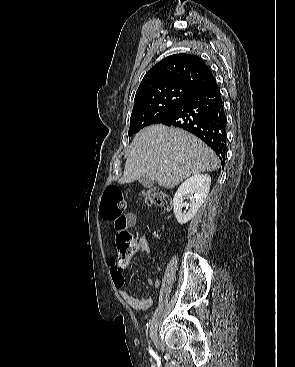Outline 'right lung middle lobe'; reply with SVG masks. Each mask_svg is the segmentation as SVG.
I'll return each instance as SVG.
<instances>
[{"instance_id":"obj_1","label":"right lung middle lobe","mask_w":295,"mask_h":367,"mask_svg":"<svg viewBox=\"0 0 295 367\" xmlns=\"http://www.w3.org/2000/svg\"><path fill=\"white\" fill-rule=\"evenodd\" d=\"M192 93L185 89L175 88L145 96L134 101L130 118L129 136L145 126L156 124L171 114Z\"/></svg>"}]
</instances>
